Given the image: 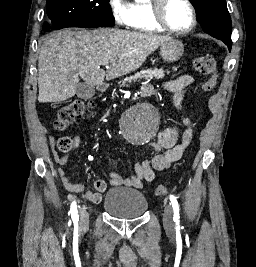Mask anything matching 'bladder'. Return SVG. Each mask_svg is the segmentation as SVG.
Listing matches in <instances>:
<instances>
[{"label":"bladder","instance_id":"1","mask_svg":"<svg viewBox=\"0 0 256 267\" xmlns=\"http://www.w3.org/2000/svg\"><path fill=\"white\" fill-rule=\"evenodd\" d=\"M147 206V199L140 191L128 188L111 189L102 204L109 214L121 218L140 216Z\"/></svg>","mask_w":256,"mask_h":267}]
</instances>
